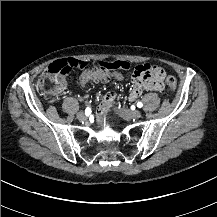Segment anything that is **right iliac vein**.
Returning <instances> with one entry per match:
<instances>
[{"instance_id": "63e3f726", "label": "right iliac vein", "mask_w": 217, "mask_h": 217, "mask_svg": "<svg viewBox=\"0 0 217 217\" xmlns=\"http://www.w3.org/2000/svg\"><path fill=\"white\" fill-rule=\"evenodd\" d=\"M77 118L80 120V121H84L86 120V116L83 112H78L77 113Z\"/></svg>"}]
</instances>
